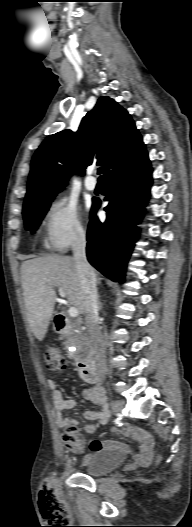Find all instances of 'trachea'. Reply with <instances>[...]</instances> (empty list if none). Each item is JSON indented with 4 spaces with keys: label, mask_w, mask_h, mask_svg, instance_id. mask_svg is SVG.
Instances as JSON below:
<instances>
[{
    "label": "trachea",
    "mask_w": 192,
    "mask_h": 527,
    "mask_svg": "<svg viewBox=\"0 0 192 527\" xmlns=\"http://www.w3.org/2000/svg\"><path fill=\"white\" fill-rule=\"evenodd\" d=\"M99 175L102 173V170L101 169H98V172H97ZM99 180H102V176L99 177Z\"/></svg>",
    "instance_id": "trachea-1"
}]
</instances>
